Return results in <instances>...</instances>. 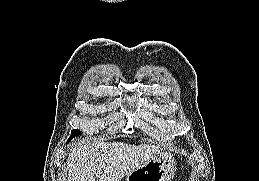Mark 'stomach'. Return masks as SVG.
<instances>
[{"label": "stomach", "instance_id": "stomach-1", "mask_svg": "<svg viewBox=\"0 0 259 181\" xmlns=\"http://www.w3.org/2000/svg\"><path fill=\"white\" fill-rule=\"evenodd\" d=\"M175 168L174 158L163 153L128 174L126 181H170Z\"/></svg>", "mask_w": 259, "mask_h": 181}]
</instances>
